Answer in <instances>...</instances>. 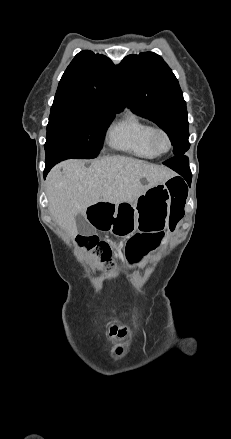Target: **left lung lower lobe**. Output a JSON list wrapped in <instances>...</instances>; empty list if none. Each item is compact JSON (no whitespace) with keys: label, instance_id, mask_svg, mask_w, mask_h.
I'll list each match as a JSON object with an SVG mask.
<instances>
[{"label":"left lung lower lobe","instance_id":"0a47b994","mask_svg":"<svg viewBox=\"0 0 231 439\" xmlns=\"http://www.w3.org/2000/svg\"><path fill=\"white\" fill-rule=\"evenodd\" d=\"M164 164L182 175V177L188 182V184L191 183L192 175L189 169L188 158L186 156L183 155L173 157L164 162Z\"/></svg>","mask_w":231,"mask_h":439}]
</instances>
